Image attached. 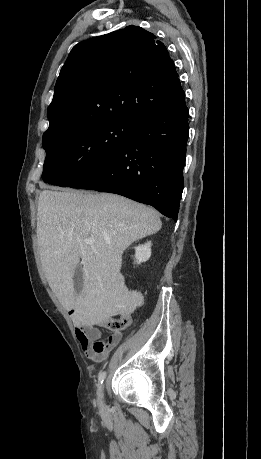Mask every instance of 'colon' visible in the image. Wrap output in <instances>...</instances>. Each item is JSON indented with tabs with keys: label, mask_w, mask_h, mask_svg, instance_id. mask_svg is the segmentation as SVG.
Returning <instances> with one entry per match:
<instances>
[{
	"label": "colon",
	"mask_w": 261,
	"mask_h": 459,
	"mask_svg": "<svg viewBox=\"0 0 261 459\" xmlns=\"http://www.w3.org/2000/svg\"><path fill=\"white\" fill-rule=\"evenodd\" d=\"M126 325H127V318L124 316L109 318L105 322L106 328L112 332H119L123 330L126 327Z\"/></svg>",
	"instance_id": "1"
}]
</instances>
